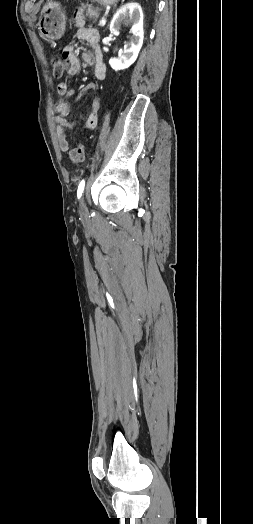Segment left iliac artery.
<instances>
[{"label":"left iliac artery","instance_id":"obj_1","mask_svg":"<svg viewBox=\"0 0 253 524\" xmlns=\"http://www.w3.org/2000/svg\"><path fill=\"white\" fill-rule=\"evenodd\" d=\"M84 186H85V181L84 179L79 183V186H78V190H77V197L78 199L81 198L82 196V193H83V190H84Z\"/></svg>","mask_w":253,"mask_h":524}]
</instances>
